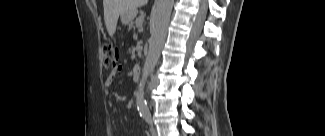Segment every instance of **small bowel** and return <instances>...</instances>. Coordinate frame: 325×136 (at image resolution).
<instances>
[{
	"mask_svg": "<svg viewBox=\"0 0 325 136\" xmlns=\"http://www.w3.org/2000/svg\"><path fill=\"white\" fill-rule=\"evenodd\" d=\"M118 71H119V70H114V71H112V72L109 74V76L106 78V80H105V86H106L107 88H109V87L112 85V83H113V81H114V79H115V77H116Z\"/></svg>",
	"mask_w": 325,
	"mask_h": 136,
	"instance_id": "obj_1",
	"label": "small bowel"
}]
</instances>
